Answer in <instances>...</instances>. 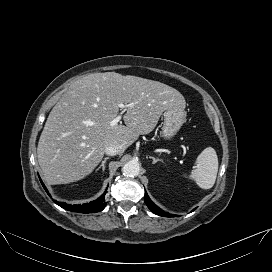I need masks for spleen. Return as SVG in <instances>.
<instances>
[{
  "instance_id": "3e777b00",
  "label": "spleen",
  "mask_w": 272,
  "mask_h": 272,
  "mask_svg": "<svg viewBox=\"0 0 272 272\" xmlns=\"http://www.w3.org/2000/svg\"><path fill=\"white\" fill-rule=\"evenodd\" d=\"M218 172V157L212 147L205 148L197 157L196 167L189 176L202 189H210L215 184Z\"/></svg>"
}]
</instances>
